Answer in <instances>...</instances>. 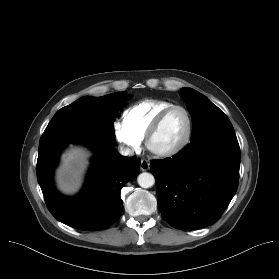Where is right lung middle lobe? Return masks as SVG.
I'll list each match as a JSON object with an SVG mask.
<instances>
[{"instance_id": "dd1d6c3e", "label": "right lung middle lobe", "mask_w": 279, "mask_h": 279, "mask_svg": "<svg viewBox=\"0 0 279 279\" xmlns=\"http://www.w3.org/2000/svg\"><path fill=\"white\" fill-rule=\"evenodd\" d=\"M128 97V94L118 92L97 98H80L57 111L45 131L65 125L82 124L113 140L115 118Z\"/></svg>"}]
</instances>
